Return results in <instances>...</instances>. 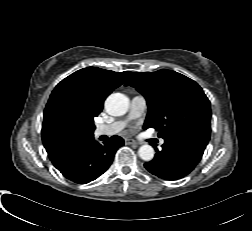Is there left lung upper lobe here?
Returning <instances> with one entry per match:
<instances>
[{
	"label": "left lung upper lobe",
	"mask_w": 252,
	"mask_h": 231,
	"mask_svg": "<svg viewBox=\"0 0 252 231\" xmlns=\"http://www.w3.org/2000/svg\"><path fill=\"white\" fill-rule=\"evenodd\" d=\"M135 87L148 104L143 128H155L159 137L198 131L210 135V101L190 78L171 70L135 72L125 82Z\"/></svg>",
	"instance_id": "obj_1"
}]
</instances>
